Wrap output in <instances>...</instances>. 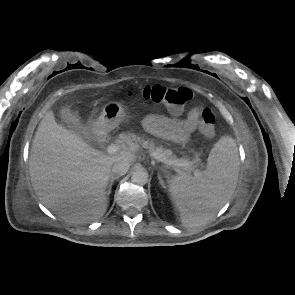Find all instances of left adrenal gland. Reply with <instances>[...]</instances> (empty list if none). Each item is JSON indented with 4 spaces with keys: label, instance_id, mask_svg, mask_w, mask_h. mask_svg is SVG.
<instances>
[{
    "label": "left adrenal gland",
    "instance_id": "obj_1",
    "mask_svg": "<svg viewBox=\"0 0 295 295\" xmlns=\"http://www.w3.org/2000/svg\"><path fill=\"white\" fill-rule=\"evenodd\" d=\"M158 179H159V182L162 185V187L165 188L164 182H163L162 177L160 175H158Z\"/></svg>",
    "mask_w": 295,
    "mask_h": 295
}]
</instances>
